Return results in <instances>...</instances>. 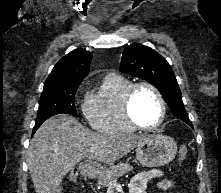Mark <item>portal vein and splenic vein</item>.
Masks as SVG:
<instances>
[{
  "mask_svg": "<svg viewBox=\"0 0 221 193\" xmlns=\"http://www.w3.org/2000/svg\"><path fill=\"white\" fill-rule=\"evenodd\" d=\"M91 151H95V148H91Z\"/></svg>",
  "mask_w": 221,
  "mask_h": 193,
  "instance_id": "portal-vein-and-splenic-vein-1",
  "label": "portal vein and splenic vein"
}]
</instances>
